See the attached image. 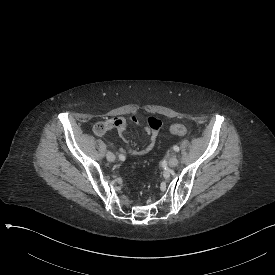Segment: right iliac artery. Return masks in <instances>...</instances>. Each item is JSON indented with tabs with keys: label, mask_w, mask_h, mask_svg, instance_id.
I'll return each mask as SVG.
<instances>
[{
	"label": "right iliac artery",
	"mask_w": 275,
	"mask_h": 275,
	"mask_svg": "<svg viewBox=\"0 0 275 275\" xmlns=\"http://www.w3.org/2000/svg\"><path fill=\"white\" fill-rule=\"evenodd\" d=\"M119 159L122 160V161H124L125 160V156L119 155Z\"/></svg>",
	"instance_id": "right-iliac-artery-1"
}]
</instances>
